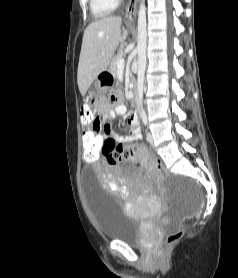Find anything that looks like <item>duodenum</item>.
Here are the masks:
<instances>
[{
    "mask_svg": "<svg viewBox=\"0 0 238 278\" xmlns=\"http://www.w3.org/2000/svg\"><path fill=\"white\" fill-rule=\"evenodd\" d=\"M131 104H132L133 109L136 111V109H137V98H136L135 93H133V95H132Z\"/></svg>",
    "mask_w": 238,
    "mask_h": 278,
    "instance_id": "duodenum-1",
    "label": "duodenum"
}]
</instances>
